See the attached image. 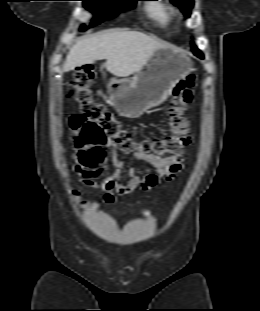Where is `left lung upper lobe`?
Here are the masks:
<instances>
[{"mask_svg":"<svg viewBox=\"0 0 260 311\" xmlns=\"http://www.w3.org/2000/svg\"><path fill=\"white\" fill-rule=\"evenodd\" d=\"M171 2L178 6L186 17L190 16V10L193 7V0H171ZM193 52L202 55L201 51H199L196 47L193 48Z\"/></svg>","mask_w":260,"mask_h":311,"instance_id":"1","label":"left lung upper lobe"}]
</instances>
